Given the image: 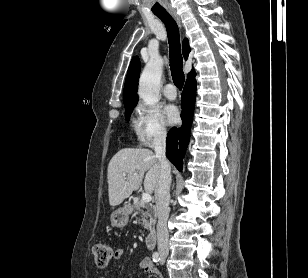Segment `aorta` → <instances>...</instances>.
I'll use <instances>...</instances> for the list:
<instances>
[{
    "label": "aorta",
    "mask_w": 308,
    "mask_h": 278,
    "mask_svg": "<svg viewBox=\"0 0 308 278\" xmlns=\"http://www.w3.org/2000/svg\"><path fill=\"white\" fill-rule=\"evenodd\" d=\"M162 68L163 60L159 56H152L140 76L138 94L147 105L159 101Z\"/></svg>",
    "instance_id": "1"
}]
</instances>
